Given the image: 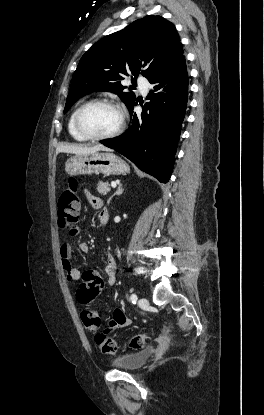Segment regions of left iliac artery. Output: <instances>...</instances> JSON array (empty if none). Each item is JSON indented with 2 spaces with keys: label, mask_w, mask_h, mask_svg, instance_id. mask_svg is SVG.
<instances>
[{
  "label": "left iliac artery",
  "mask_w": 264,
  "mask_h": 415,
  "mask_svg": "<svg viewBox=\"0 0 264 415\" xmlns=\"http://www.w3.org/2000/svg\"><path fill=\"white\" fill-rule=\"evenodd\" d=\"M130 300H131V302L133 303V304H135L136 303V301H137V295L136 294H131V296H130Z\"/></svg>",
  "instance_id": "left-iliac-artery-1"
}]
</instances>
